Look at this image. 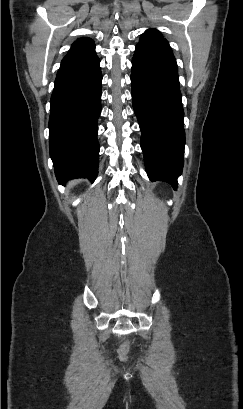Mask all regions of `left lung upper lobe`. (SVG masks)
<instances>
[{"instance_id": "1", "label": "left lung upper lobe", "mask_w": 243, "mask_h": 409, "mask_svg": "<svg viewBox=\"0 0 243 409\" xmlns=\"http://www.w3.org/2000/svg\"><path fill=\"white\" fill-rule=\"evenodd\" d=\"M164 38L160 34V32L156 29H148L145 33L142 34L140 37L139 43H151L158 40H163Z\"/></svg>"}]
</instances>
